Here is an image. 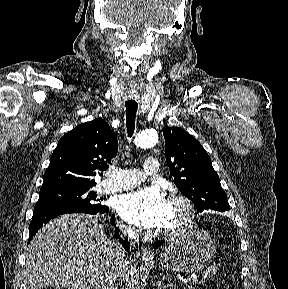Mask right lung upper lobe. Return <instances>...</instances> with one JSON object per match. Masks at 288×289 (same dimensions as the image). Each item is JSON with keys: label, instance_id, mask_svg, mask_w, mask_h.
I'll use <instances>...</instances> for the list:
<instances>
[{"label": "right lung upper lobe", "instance_id": "cb5924a9", "mask_svg": "<svg viewBox=\"0 0 288 289\" xmlns=\"http://www.w3.org/2000/svg\"><path fill=\"white\" fill-rule=\"evenodd\" d=\"M117 151V138L105 120L80 124L59 140L41 189L93 187L96 171L106 170Z\"/></svg>", "mask_w": 288, "mask_h": 289}]
</instances>
